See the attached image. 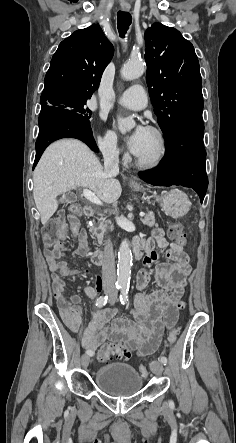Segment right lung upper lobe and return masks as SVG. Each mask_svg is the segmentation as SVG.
<instances>
[{
  "instance_id": "cb5924a9",
  "label": "right lung upper lobe",
  "mask_w": 236,
  "mask_h": 443,
  "mask_svg": "<svg viewBox=\"0 0 236 443\" xmlns=\"http://www.w3.org/2000/svg\"><path fill=\"white\" fill-rule=\"evenodd\" d=\"M114 53L99 24L75 31L53 55L40 101L58 94L90 98Z\"/></svg>"
}]
</instances>
